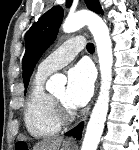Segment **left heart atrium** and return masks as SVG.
I'll return each mask as SVG.
<instances>
[{"label": "left heart atrium", "instance_id": "left-heart-atrium-1", "mask_svg": "<svg viewBox=\"0 0 139 150\" xmlns=\"http://www.w3.org/2000/svg\"><path fill=\"white\" fill-rule=\"evenodd\" d=\"M94 90V72L87 63H79L68 72L66 101L71 108L84 106Z\"/></svg>", "mask_w": 139, "mask_h": 150}]
</instances>
